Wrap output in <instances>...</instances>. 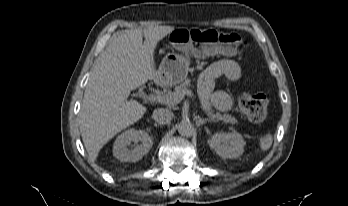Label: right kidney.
I'll return each mask as SVG.
<instances>
[{
	"instance_id": "obj_1",
	"label": "right kidney",
	"mask_w": 348,
	"mask_h": 206,
	"mask_svg": "<svg viewBox=\"0 0 348 206\" xmlns=\"http://www.w3.org/2000/svg\"><path fill=\"white\" fill-rule=\"evenodd\" d=\"M131 142L137 145L130 148ZM152 145L153 141L148 133L131 128L117 137L113 145V155L123 162H137L149 152Z\"/></svg>"
}]
</instances>
